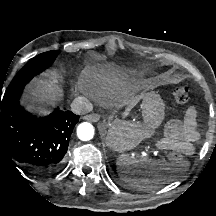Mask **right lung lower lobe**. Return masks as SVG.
Returning <instances> with one entry per match:
<instances>
[{
  "label": "right lung lower lobe",
  "mask_w": 216,
  "mask_h": 216,
  "mask_svg": "<svg viewBox=\"0 0 216 216\" xmlns=\"http://www.w3.org/2000/svg\"><path fill=\"white\" fill-rule=\"evenodd\" d=\"M21 93L2 100L0 156L21 164L31 174L48 176L60 170L79 116L56 109L36 118L19 104Z\"/></svg>",
  "instance_id": "1"
}]
</instances>
